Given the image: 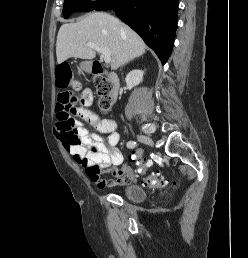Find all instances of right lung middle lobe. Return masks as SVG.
Listing matches in <instances>:
<instances>
[{
    "label": "right lung middle lobe",
    "instance_id": "dd1d6c3e",
    "mask_svg": "<svg viewBox=\"0 0 248 258\" xmlns=\"http://www.w3.org/2000/svg\"><path fill=\"white\" fill-rule=\"evenodd\" d=\"M109 0L91 2L90 0H64L63 15L67 19L74 12L91 11Z\"/></svg>",
    "mask_w": 248,
    "mask_h": 258
}]
</instances>
